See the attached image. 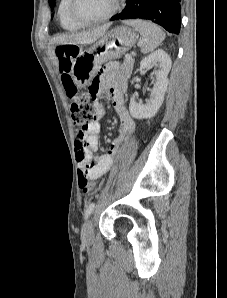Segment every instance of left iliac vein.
<instances>
[{
    "instance_id": "4c4485c4",
    "label": "left iliac vein",
    "mask_w": 227,
    "mask_h": 298,
    "mask_svg": "<svg viewBox=\"0 0 227 298\" xmlns=\"http://www.w3.org/2000/svg\"><path fill=\"white\" fill-rule=\"evenodd\" d=\"M81 239L84 243H91L94 239V228L92 218L86 221L82 227Z\"/></svg>"
}]
</instances>
